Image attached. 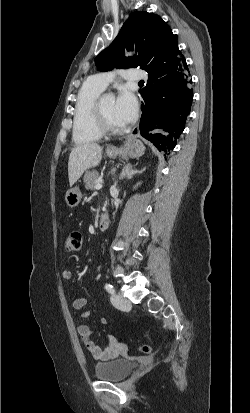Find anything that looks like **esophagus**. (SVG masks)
Masks as SVG:
<instances>
[{
    "mask_svg": "<svg viewBox=\"0 0 250 413\" xmlns=\"http://www.w3.org/2000/svg\"><path fill=\"white\" fill-rule=\"evenodd\" d=\"M138 134H139V128L136 126V127L131 131V133H130V135H129L128 137H135V136H137ZM108 150L114 152V151H117L118 148H117L116 145H110V146L108 147Z\"/></svg>",
    "mask_w": 250,
    "mask_h": 413,
    "instance_id": "34e87169",
    "label": "esophagus"
}]
</instances>
